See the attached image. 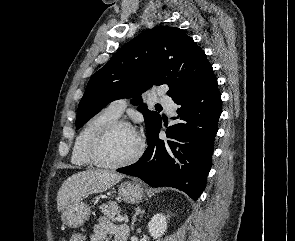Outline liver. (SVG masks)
<instances>
[{"label": "liver", "mask_w": 295, "mask_h": 241, "mask_svg": "<svg viewBox=\"0 0 295 241\" xmlns=\"http://www.w3.org/2000/svg\"><path fill=\"white\" fill-rule=\"evenodd\" d=\"M124 175L108 170H87L68 177L57 194V209L63 211L69 204L83 197L101 193L118 183Z\"/></svg>", "instance_id": "obj_1"}]
</instances>
